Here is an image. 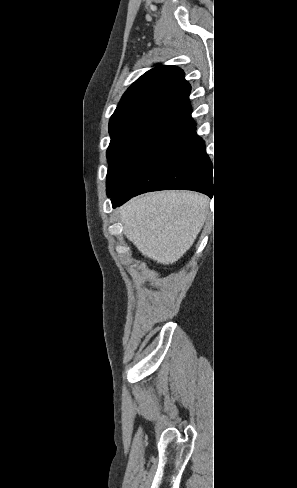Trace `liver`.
<instances>
[{
  "mask_svg": "<svg viewBox=\"0 0 297 488\" xmlns=\"http://www.w3.org/2000/svg\"><path fill=\"white\" fill-rule=\"evenodd\" d=\"M208 198L162 191L133 198L120 207L124 234L142 255L173 264L193 245L208 213Z\"/></svg>",
  "mask_w": 297,
  "mask_h": 488,
  "instance_id": "6515ba94",
  "label": "liver"
}]
</instances>
